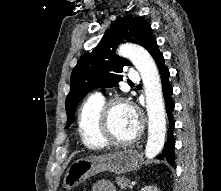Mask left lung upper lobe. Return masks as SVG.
<instances>
[{
    "instance_id": "obj_1",
    "label": "left lung upper lobe",
    "mask_w": 221,
    "mask_h": 191,
    "mask_svg": "<svg viewBox=\"0 0 221 191\" xmlns=\"http://www.w3.org/2000/svg\"><path fill=\"white\" fill-rule=\"evenodd\" d=\"M154 39L146 20L135 16L118 18L94 50L81 56L72 71L70 92L65 103L68 125L76 106L91 90L114 87L122 80V68L131 63L115 54L116 46L131 42L148 50Z\"/></svg>"
}]
</instances>
